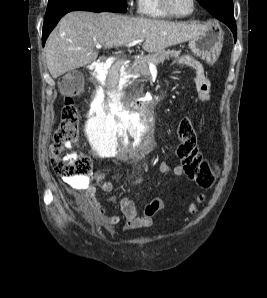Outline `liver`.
Returning a JSON list of instances; mask_svg holds the SVG:
<instances>
[{"mask_svg":"<svg viewBox=\"0 0 267 298\" xmlns=\"http://www.w3.org/2000/svg\"><path fill=\"white\" fill-rule=\"evenodd\" d=\"M206 29L194 23L74 11L60 20L46 41L47 67L56 79L94 62L96 45L112 48L142 39L145 51L157 52L197 38Z\"/></svg>","mask_w":267,"mask_h":298,"instance_id":"obj_1","label":"liver"}]
</instances>
